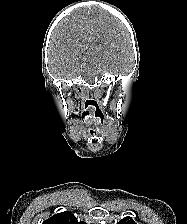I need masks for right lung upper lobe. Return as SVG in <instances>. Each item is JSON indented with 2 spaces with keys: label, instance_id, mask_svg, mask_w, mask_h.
Wrapping results in <instances>:
<instances>
[{
  "label": "right lung upper lobe",
  "instance_id": "1",
  "mask_svg": "<svg viewBox=\"0 0 187 224\" xmlns=\"http://www.w3.org/2000/svg\"><path fill=\"white\" fill-rule=\"evenodd\" d=\"M42 224H86L78 221L71 212L58 213L51 218L43 221Z\"/></svg>",
  "mask_w": 187,
  "mask_h": 224
}]
</instances>
